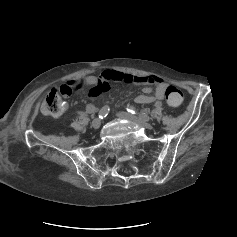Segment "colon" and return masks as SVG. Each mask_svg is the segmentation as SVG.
I'll return each mask as SVG.
<instances>
[{
  "label": "colon",
  "instance_id": "5ec220e1",
  "mask_svg": "<svg viewBox=\"0 0 237 237\" xmlns=\"http://www.w3.org/2000/svg\"><path fill=\"white\" fill-rule=\"evenodd\" d=\"M69 94L70 91L65 87H62L59 90L52 89L41 103V112L51 116L59 115L64 109L62 96H67ZM165 99L169 106L178 107L183 101V94L175 86H169L165 91Z\"/></svg>",
  "mask_w": 237,
  "mask_h": 237
}]
</instances>
